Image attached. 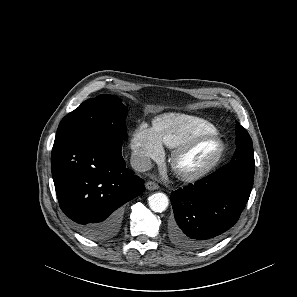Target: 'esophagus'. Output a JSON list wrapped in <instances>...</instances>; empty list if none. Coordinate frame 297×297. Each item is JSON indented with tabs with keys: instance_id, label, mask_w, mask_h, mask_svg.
<instances>
[{
	"instance_id": "obj_1",
	"label": "esophagus",
	"mask_w": 297,
	"mask_h": 297,
	"mask_svg": "<svg viewBox=\"0 0 297 297\" xmlns=\"http://www.w3.org/2000/svg\"><path fill=\"white\" fill-rule=\"evenodd\" d=\"M145 186L148 190H157L159 188V185L154 181L146 182Z\"/></svg>"
}]
</instances>
